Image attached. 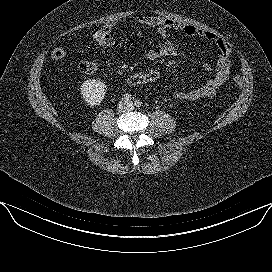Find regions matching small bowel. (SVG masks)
<instances>
[{
  "label": "small bowel",
  "mask_w": 272,
  "mask_h": 272,
  "mask_svg": "<svg viewBox=\"0 0 272 272\" xmlns=\"http://www.w3.org/2000/svg\"><path fill=\"white\" fill-rule=\"evenodd\" d=\"M140 25H146L156 29L161 40L155 49L148 50L142 54V57L149 61H154L163 57L177 56L179 51L173 42L167 37L169 30L182 32L188 37H200L213 44L218 50V60L215 72L202 85L188 90L175 89L172 95L178 99L196 101L202 98H209L216 94L219 88L225 83L230 73L232 64L231 49L229 44L216 34L199 29L193 25L186 24L175 19L163 18L158 16H146L135 19ZM116 22H107L102 29L113 34ZM202 66L207 72L212 71L211 65L207 61H202Z\"/></svg>",
  "instance_id": "small-bowel-1"
}]
</instances>
